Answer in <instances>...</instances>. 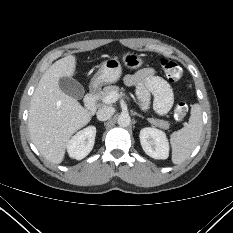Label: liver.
I'll return each mask as SVG.
<instances>
[{
  "label": "liver",
  "instance_id": "6515ba94",
  "mask_svg": "<svg viewBox=\"0 0 233 233\" xmlns=\"http://www.w3.org/2000/svg\"><path fill=\"white\" fill-rule=\"evenodd\" d=\"M76 58L68 55L52 64L42 75L31 97L28 128L40 154L60 164L72 135L86 126L94 114L59 86L64 77H72Z\"/></svg>",
  "mask_w": 233,
  "mask_h": 233
}]
</instances>
